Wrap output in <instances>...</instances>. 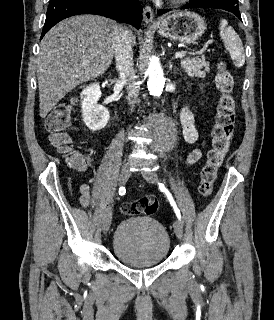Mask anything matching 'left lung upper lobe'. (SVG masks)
<instances>
[{"label": "left lung upper lobe", "mask_w": 274, "mask_h": 320, "mask_svg": "<svg viewBox=\"0 0 274 320\" xmlns=\"http://www.w3.org/2000/svg\"><path fill=\"white\" fill-rule=\"evenodd\" d=\"M214 1L221 2L228 6L238 7V0H214Z\"/></svg>", "instance_id": "5c2ea615"}]
</instances>
